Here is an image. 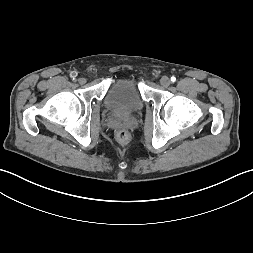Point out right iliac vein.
I'll return each instance as SVG.
<instances>
[{
  "label": "right iliac vein",
  "mask_w": 253,
  "mask_h": 253,
  "mask_svg": "<svg viewBox=\"0 0 253 253\" xmlns=\"http://www.w3.org/2000/svg\"><path fill=\"white\" fill-rule=\"evenodd\" d=\"M78 82H79V84L83 85L86 83V79L84 77H80V78H78Z\"/></svg>",
  "instance_id": "right-iliac-vein-1"
}]
</instances>
